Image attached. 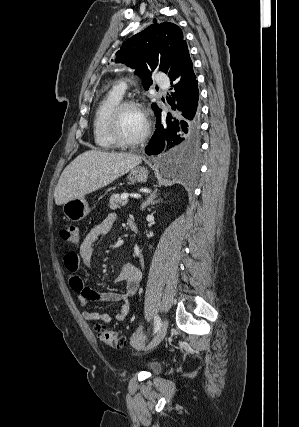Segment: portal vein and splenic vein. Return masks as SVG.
<instances>
[{
    "instance_id": "18ae733b",
    "label": "portal vein and splenic vein",
    "mask_w": 299,
    "mask_h": 427,
    "mask_svg": "<svg viewBox=\"0 0 299 427\" xmlns=\"http://www.w3.org/2000/svg\"><path fill=\"white\" fill-rule=\"evenodd\" d=\"M131 197H134V198H139L140 197V195H138V194H132V195H130ZM128 197H129V194H122L121 195V199H123V200H127L128 199Z\"/></svg>"
}]
</instances>
